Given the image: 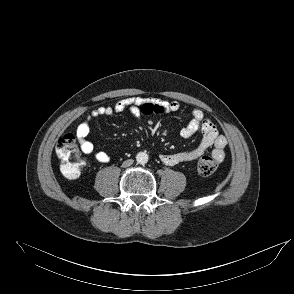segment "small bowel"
<instances>
[{
  "mask_svg": "<svg viewBox=\"0 0 294 294\" xmlns=\"http://www.w3.org/2000/svg\"><path fill=\"white\" fill-rule=\"evenodd\" d=\"M144 103H152L161 108L163 112H176L180 108V104L177 101L141 97L125 98L113 105L95 108L84 117L83 121L76 129V136L79 140L82 152L94 156V158L101 163L109 162V155L104 151H97L93 143L87 139L90 133L91 122L98 117H109L126 109L137 111ZM198 132H201L203 137L200 144L195 149L171 154H161L160 160L168 166L196 162L207 150L212 149V157L217 161H223L227 144L225 136L219 134L216 126L209 119L205 118L201 109L195 108L192 111L188 124L181 130L180 135L187 139Z\"/></svg>",
  "mask_w": 294,
  "mask_h": 294,
  "instance_id": "obj_1",
  "label": "small bowel"
}]
</instances>
